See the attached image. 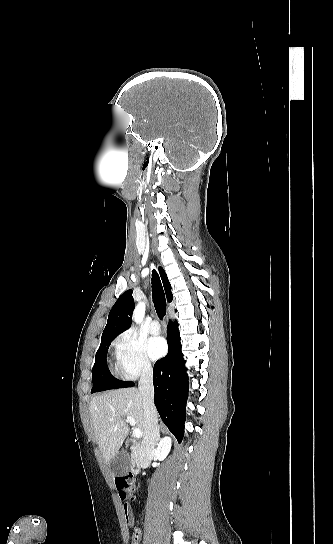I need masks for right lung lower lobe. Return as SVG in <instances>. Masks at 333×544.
Returning a JSON list of instances; mask_svg holds the SVG:
<instances>
[{"label": "right lung lower lobe", "instance_id": "1", "mask_svg": "<svg viewBox=\"0 0 333 544\" xmlns=\"http://www.w3.org/2000/svg\"><path fill=\"white\" fill-rule=\"evenodd\" d=\"M177 322L167 327L168 354L153 368L155 405L161 419L181 442L184 435L185 405L188 397V377L181 352ZM131 383L128 387H133Z\"/></svg>", "mask_w": 333, "mask_h": 544}]
</instances>
